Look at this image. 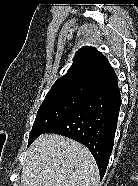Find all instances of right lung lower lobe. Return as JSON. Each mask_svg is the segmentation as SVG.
<instances>
[{
  "label": "right lung lower lobe",
  "instance_id": "1",
  "mask_svg": "<svg viewBox=\"0 0 138 186\" xmlns=\"http://www.w3.org/2000/svg\"><path fill=\"white\" fill-rule=\"evenodd\" d=\"M121 105L118 86L92 90L88 100L51 126L46 133L60 134L85 145L103 178L113 149Z\"/></svg>",
  "mask_w": 138,
  "mask_h": 186
}]
</instances>
